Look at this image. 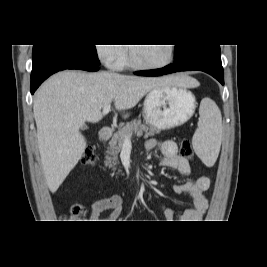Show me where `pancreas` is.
Returning <instances> with one entry per match:
<instances>
[{
	"label": "pancreas",
	"mask_w": 267,
	"mask_h": 267,
	"mask_svg": "<svg viewBox=\"0 0 267 267\" xmlns=\"http://www.w3.org/2000/svg\"><path fill=\"white\" fill-rule=\"evenodd\" d=\"M156 131L157 130L154 127H148L146 124H142L140 120H133L132 122L127 123L112 136L109 142L106 160L104 162L105 166L114 168L117 164L118 154L122 149L126 136H131L133 133L142 135V133L145 132L144 137L147 138L149 136H154Z\"/></svg>",
	"instance_id": "1"
}]
</instances>
